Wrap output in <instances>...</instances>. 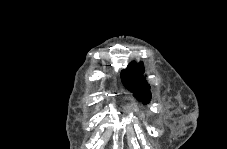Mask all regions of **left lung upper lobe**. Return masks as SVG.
<instances>
[{
	"label": "left lung upper lobe",
	"instance_id": "5c2ea615",
	"mask_svg": "<svg viewBox=\"0 0 227 149\" xmlns=\"http://www.w3.org/2000/svg\"><path fill=\"white\" fill-rule=\"evenodd\" d=\"M143 64L132 62L128 65L126 70L121 73V79L124 86L132 91L139 100L147 103L151 99L150 85L147 84L143 76Z\"/></svg>",
	"mask_w": 227,
	"mask_h": 149
}]
</instances>
